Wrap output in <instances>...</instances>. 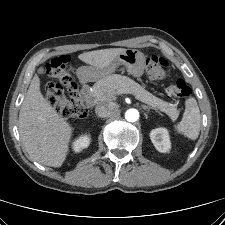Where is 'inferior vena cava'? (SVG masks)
Segmentation results:
<instances>
[{"mask_svg":"<svg viewBox=\"0 0 225 225\" xmlns=\"http://www.w3.org/2000/svg\"><path fill=\"white\" fill-rule=\"evenodd\" d=\"M113 109L112 103L99 102L95 107V113L99 117H108L111 115Z\"/></svg>","mask_w":225,"mask_h":225,"instance_id":"obj_1","label":"inferior vena cava"}]
</instances>
